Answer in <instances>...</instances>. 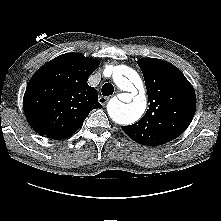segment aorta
Masks as SVG:
<instances>
[{"label":"aorta","mask_w":221,"mask_h":221,"mask_svg":"<svg viewBox=\"0 0 221 221\" xmlns=\"http://www.w3.org/2000/svg\"><path fill=\"white\" fill-rule=\"evenodd\" d=\"M113 80L117 87L126 92L127 104L118 99H112L107 105V111L113 121L118 124H131L137 121L145 112L147 99L141 90L135 95V87L142 89V81L138 73L127 66H116L113 69Z\"/></svg>","instance_id":"obj_1"}]
</instances>
